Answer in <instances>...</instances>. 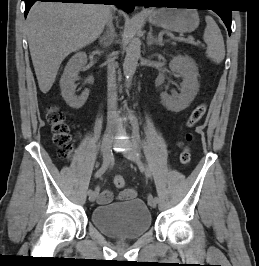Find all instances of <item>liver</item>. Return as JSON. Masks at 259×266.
Instances as JSON below:
<instances>
[{"instance_id":"6515ba94","label":"liver","mask_w":259,"mask_h":266,"mask_svg":"<svg viewBox=\"0 0 259 266\" xmlns=\"http://www.w3.org/2000/svg\"><path fill=\"white\" fill-rule=\"evenodd\" d=\"M111 7L103 4L36 2L26 21L27 39L38 85L46 94L62 61L94 42Z\"/></svg>"}]
</instances>
